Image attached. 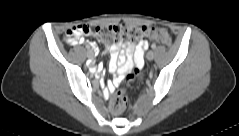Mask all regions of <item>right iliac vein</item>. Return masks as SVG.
I'll return each instance as SVG.
<instances>
[{
  "mask_svg": "<svg viewBox=\"0 0 239 136\" xmlns=\"http://www.w3.org/2000/svg\"><path fill=\"white\" fill-rule=\"evenodd\" d=\"M87 55L88 57L92 58L94 57V52L92 50H88Z\"/></svg>",
  "mask_w": 239,
  "mask_h": 136,
  "instance_id": "63e3f726",
  "label": "right iliac vein"
}]
</instances>
